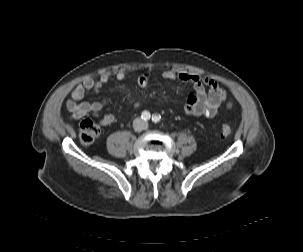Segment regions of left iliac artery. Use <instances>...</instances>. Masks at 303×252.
<instances>
[{"mask_svg":"<svg viewBox=\"0 0 303 252\" xmlns=\"http://www.w3.org/2000/svg\"><path fill=\"white\" fill-rule=\"evenodd\" d=\"M160 119H161V116L159 114H155L152 116V121L154 123H158L160 121Z\"/></svg>","mask_w":303,"mask_h":252,"instance_id":"obj_1","label":"left iliac artery"}]
</instances>
